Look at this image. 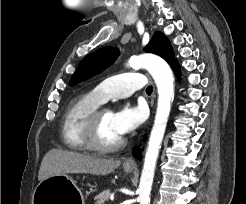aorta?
<instances>
[{
	"mask_svg": "<svg viewBox=\"0 0 246 204\" xmlns=\"http://www.w3.org/2000/svg\"><path fill=\"white\" fill-rule=\"evenodd\" d=\"M130 67H143L153 77L158 91L157 110L145 153L143 169L139 183V203L149 204L154 179L156 162L165 134L171 103L174 98V77L168 63L153 54L132 56L128 61Z\"/></svg>",
	"mask_w": 246,
	"mask_h": 204,
	"instance_id": "obj_1",
	"label": "aorta"
}]
</instances>
